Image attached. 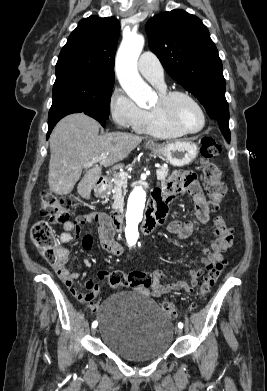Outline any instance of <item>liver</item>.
I'll return each mask as SVG.
<instances>
[{"label":"liver","instance_id":"1","mask_svg":"<svg viewBox=\"0 0 267 391\" xmlns=\"http://www.w3.org/2000/svg\"><path fill=\"white\" fill-rule=\"evenodd\" d=\"M99 123L84 113H74L58 122L50 136V162L48 184L50 190L58 195L68 194L80 179L86 164L101 154L108 155L86 171L78 184V193L90 198L92 187L99 180L101 166L122 168L117 164L128 157L144 139L142 136L112 132L99 136Z\"/></svg>","mask_w":267,"mask_h":391}]
</instances>
